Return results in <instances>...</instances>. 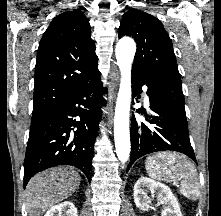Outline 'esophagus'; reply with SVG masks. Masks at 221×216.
Listing matches in <instances>:
<instances>
[{
  "label": "esophagus",
  "mask_w": 221,
  "mask_h": 216,
  "mask_svg": "<svg viewBox=\"0 0 221 216\" xmlns=\"http://www.w3.org/2000/svg\"><path fill=\"white\" fill-rule=\"evenodd\" d=\"M118 84H119V73L116 70L112 81H110V83H109V96L110 97L114 96L116 94Z\"/></svg>",
  "instance_id": "obj_1"
}]
</instances>
